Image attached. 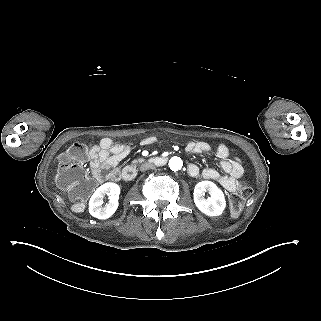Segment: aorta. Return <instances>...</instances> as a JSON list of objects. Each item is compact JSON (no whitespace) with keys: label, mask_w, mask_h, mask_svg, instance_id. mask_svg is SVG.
<instances>
[{"label":"aorta","mask_w":321,"mask_h":321,"mask_svg":"<svg viewBox=\"0 0 321 321\" xmlns=\"http://www.w3.org/2000/svg\"><path fill=\"white\" fill-rule=\"evenodd\" d=\"M182 166L183 162L180 157L174 156L169 160V167L172 171H178Z\"/></svg>","instance_id":"aorta-1"}]
</instances>
